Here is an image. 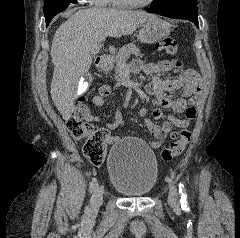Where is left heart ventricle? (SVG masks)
Here are the masks:
<instances>
[{"instance_id":"1","label":"left heart ventricle","mask_w":240,"mask_h":238,"mask_svg":"<svg viewBox=\"0 0 240 238\" xmlns=\"http://www.w3.org/2000/svg\"><path fill=\"white\" fill-rule=\"evenodd\" d=\"M126 1L135 2V3H143V2H146L147 0H126Z\"/></svg>"}]
</instances>
